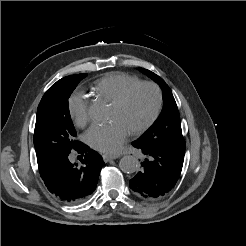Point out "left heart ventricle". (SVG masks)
<instances>
[{"mask_svg":"<svg viewBox=\"0 0 246 246\" xmlns=\"http://www.w3.org/2000/svg\"><path fill=\"white\" fill-rule=\"evenodd\" d=\"M156 93L150 87L137 89L123 106L112 105L110 119L120 120L129 131L143 125L156 107Z\"/></svg>","mask_w":246,"mask_h":246,"instance_id":"b2bd125f","label":"left heart ventricle"}]
</instances>
